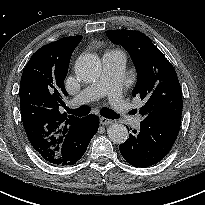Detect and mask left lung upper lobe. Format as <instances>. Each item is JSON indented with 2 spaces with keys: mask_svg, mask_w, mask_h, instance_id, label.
<instances>
[{
  "mask_svg": "<svg viewBox=\"0 0 205 205\" xmlns=\"http://www.w3.org/2000/svg\"><path fill=\"white\" fill-rule=\"evenodd\" d=\"M107 36L130 54L137 71L133 96L146 101L141 107L143 120L182 116V90L173 65L143 33L108 30Z\"/></svg>",
  "mask_w": 205,
  "mask_h": 205,
  "instance_id": "obj_1",
  "label": "left lung upper lobe"
}]
</instances>
